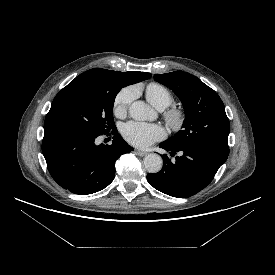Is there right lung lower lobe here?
<instances>
[{"instance_id":"right-lung-lower-lobe-1","label":"right lung lower lobe","mask_w":275,"mask_h":275,"mask_svg":"<svg viewBox=\"0 0 275 275\" xmlns=\"http://www.w3.org/2000/svg\"><path fill=\"white\" fill-rule=\"evenodd\" d=\"M112 134L111 145H96L98 136L74 131L44 132L42 152L52 178L64 189L79 195L107 187L114 179L115 161L133 150L117 129Z\"/></svg>"}]
</instances>
